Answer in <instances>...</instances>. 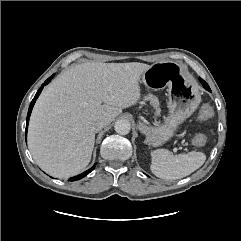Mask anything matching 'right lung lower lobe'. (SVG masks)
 <instances>
[{
	"instance_id": "98d812e1",
	"label": "right lung lower lobe",
	"mask_w": 241,
	"mask_h": 241,
	"mask_svg": "<svg viewBox=\"0 0 241 241\" xmlns=\"http://www.w3.org/2000/svg\"><path fill=\"white\" fill-rule=\"evenodd\" d=\"M53 76H54V75H52L51 77H49V78L42 84L41 88L38 90V92L36 93L35 97L33 98L32 102H31V104H30V106H29V110H28V114H27V124H26L25 137H27V128H28L29 118H30V115H31V111H32V109H33V106H34V104H35V102H36V99H37L38 96L40 95V93H41V91H42V89H43V86L46 85V84H48V83L51 81V79L53 78ZM95 165H96V164H95ZM95 165H94L92 168H90L89 170L85 171L84 173H82V174H80V175H78V176H75V177H73V178H70V180H71V181H76V180H79V179L85 177L86 175H88V174L94 169Z\"/></svg>"
}]
</instances>
